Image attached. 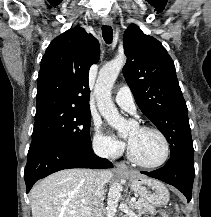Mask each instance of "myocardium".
I'll return each instance as SVG.
<instances>
[{
  "label": "myocardium",
  "mask_w": 211,
  "mask_h": 217,
  "mask_svg": "<svg viewBox=\"0 0 211 217\" xmlns=\"http://www.w3.org/2000/svg\"><path fill=\"white\" fill-rule=\"evenodd\" d=\"M138 128L142 131H152V132L157 133L163 140V143L165 146V153H164L163 158L159 162L154 163V164H147V163L142 162L135 156L129 144L127 147V155H128L129 160L133 162L135 165L140 166L142 168H146V169H156V168L163 166L168 161L170 152H171L170 143L166 135L160 129L154 126L143 125V126H139Z\"/></svg>",
  "instance_id": "myocardium-1"
}]
</instances>
